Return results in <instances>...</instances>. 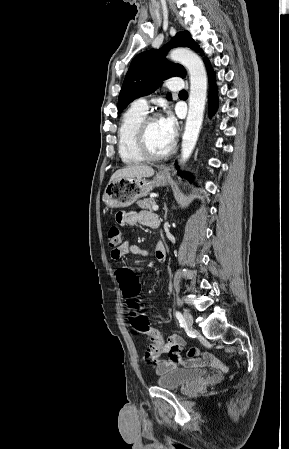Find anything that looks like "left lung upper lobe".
Here are the masks:
<instances>
[{"mask_svg": "<svg viewBox=\"0 0 289 449\" xmlns=\"http://www.w3.org/2000/svg\"><path fill=\"white\" fill-rule=\"evenodd\" d=\"M189 47L203 55L188 31L178 33L171 42L159 50H149L135 56L125 76L119 98L118 114L136 98L155 91L161 82L173 76L185 77L186 71L180 64L169 62L165 56L169 48ZM168 100L172 95L167 94Z\"/></svg>", "mask_w": 289, "mask_h": 449, "instance_id": "left-lung-upper-lobe-1", "label": "left lung upper lobe"}]
</instances>
